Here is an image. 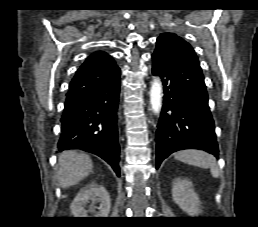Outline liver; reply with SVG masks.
Wrapping results in <instances>:
<instances>
[{"label":"liver","instance_id":"1","mask_svg":"<svg viewBox=\"0 0 258 227\" xmlns=\"http://www.w3.org/2000/svg\"><path fill=\"white\" fill-rule=\"evenodd\" d=\"M93 163L85 153L64 151L59 155L58 182L62 188H68L80 182L92 171Z\"/></svg>","mask_w":258,"mask_h":227}]
</instances>
